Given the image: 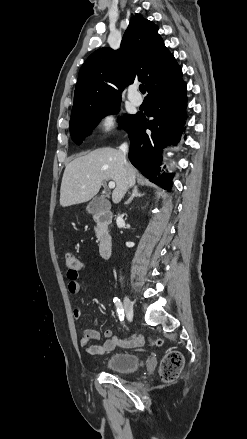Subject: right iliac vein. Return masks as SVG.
Masks as SVG:
<instances>
[{
  "label": "right iliac vein",
  "instance_id": "obj_1",
  "mask_svg": "<svg viewBox=\"0 0 247 439\" xmlns=\"http://www.w3.org/2000/svg\"><path fill=\"white\" fill-rule=\"evenodd\" d=\"M124 308H125V312H126V316H127L128 320H132L133 319V303L127 295L124 296Z\"/></svg>",
  "mask_w": 247,
  "mask_h": 439
}]
</instances>
